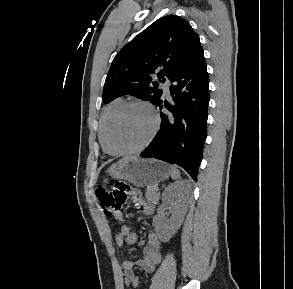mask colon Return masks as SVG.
<instances>
[{"label": "colon", "mask_w": 293, "mask_h": 289, "mask_svg": "<svg viewBox=\"0 0 293 289\" xmlns=\"http://www.w3.org/2000/svg\"><path fill=\"white\" fill-rule=\"evenodd\" d=\"M133 186L118 182L114 185L112 190L105 187H100L96 190V198L99 206L106 216H112L115 211L122 208L127 201L128 196L134 193ZM136 206L139 207L140 203L136 199Z\"/></svg>", "instance_id": "5ec220e1"}]
</instances>
